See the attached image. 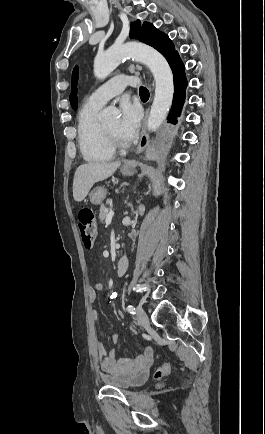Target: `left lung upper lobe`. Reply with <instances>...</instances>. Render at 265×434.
<instances>
[{"mask_svg": "<svg viewBox=\"0 0 265 434\" xmlns=\"http://www.w3.org/2000/svg\"><path fill=\"white\" fill-rule=\"evenodd\" d=\"M140 24L139 20L131 23L130 37L138 39L139 41L157 49L166 57L170 64L173 58L178 55V52L175 51V47L168 35L157 30L151 23L144 22L141 27Z\"/></svg>", "mask_w": 265, "mask_h": 434, "instance_id": "1", "label": "left lung upper lobe"}]
</instances>
